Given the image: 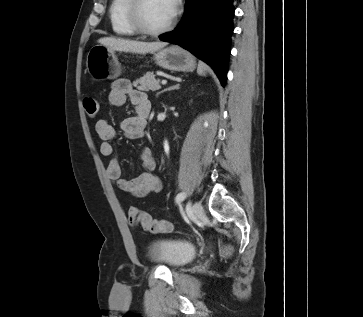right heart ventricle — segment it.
Returning a JSON list of instances; mask_svg holds the SVG:
<instances>
[{"label": "right heart ventricle", "mask_w": 363, "mask_h": 317, "mask_svg": "<svg viewBox=\"0 0 363 317\" xmlns=\"http://www.w3.org/2000/svg\"><path fill=\"white\" fill-rule=\"evenodd\" d=\"M129 0H112L109 6V19L113 32L120 36H134L136 32L130 27L126 18Z\"/></svg>", "instance_id": "obj_1"}]
</instances>
